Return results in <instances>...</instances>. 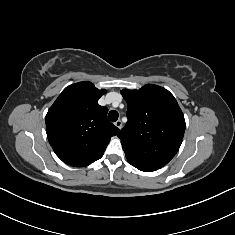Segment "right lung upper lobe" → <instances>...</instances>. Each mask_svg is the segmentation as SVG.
I'll return each instance as SVG.
<instances>
[{
    "mask_svg": "<svg viewBox=\"0 0 235 235\" xmlns=\"http://www.w3.org/2000/svg\"><path fill=\"white\" fill-rule=\"evenodd\" d=\"M91 82L66 87L46 115V132L56 155L66 164L84 167L100 159L119 129L98 104L105 93Z\"/></svg>",
    "mask_w": 235,
    "mask_h": 235,
    "instance_id": "obj_1",
    "label": "right lung upper lobe"
}]
</instances>
